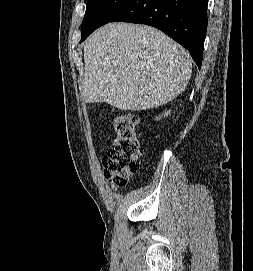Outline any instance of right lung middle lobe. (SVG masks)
Wrapping results in <instances>:
<instances>
[{"mask_svg":"<svg viewBox=\"0 0 253 271\" xmlns=\"http://www.w3.org/2000/svg\"><path fill=\"white\" fill-rule=\"evenodd\" d=\"M131 0H87L81 39L110 22Z\"/></svg>","mask_w":253,"mask_h":271,"instance_id":"1","label":"right lung middle lobe"}]
</instances>
